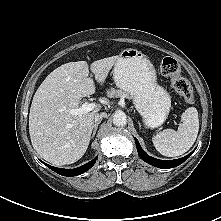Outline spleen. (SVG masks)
Instances as JSON below:
<instances>
[{"label": "spleen", "instance_id": "spleen-1", "mask_svg": "<svg viewBox=\"0 0 221 221\" xmlns=\"http://www.w3.org/2000/svg\"><path fill=\"white\" fill-rule=\"evenodd\" d=\"M178 130L165 129L152 138L156 150L167 157H176L187 152L194 144L199 131L198 111L187 108L181 116Z\"/></svg>", "mask_w": 221, "mask_h": 221}]
</instances>
